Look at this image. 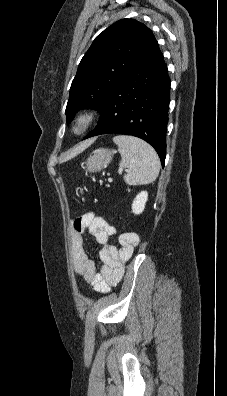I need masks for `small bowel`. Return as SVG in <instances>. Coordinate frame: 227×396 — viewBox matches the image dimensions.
<instances>
[{
    "label": "small bowel",
    "mask_w": 227,
    "mask_h": 396,
    "mask_svg": "<svg viewBox=\"0 0 227 396\" xmlns=\"http://www.w3.org/2000/svg\"><path fill=\"white\" fill-rule=\"evenodd\" d=\"M86 230L102 245L99 251L102 263L100 270H97L95 263L85 251L83 234ZM111 237H118L120 247L109 243ZM139 243L138 234H119L103 217L88 212L73 221L71 253L74 268L96 291L106 293L122 279L124 266Z\"/></svg>",
    "instance_id": "1"
}]
</instances>
